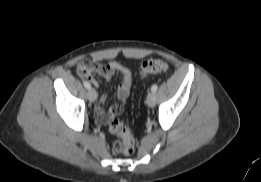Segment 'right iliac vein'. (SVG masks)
I'll return each mask as SVG.
<instances>
[{
	"mask_svg": "<svg viewBox=\"0 0 261 182\" xmlns=\"http://www.w3.org/2000/svg\"><path fill=\"white\" fill-rule=\"evenodd\" d=\"M87 95H88V99H89L91 102H94V101L96 100L97 93H96L95 89L90 88V89L88 90Z\"/></svg>",
	"mask_w": 261,
	"mask_h": 182,
	"instance_id": "1",
	"label": "right iliac vein"
}]
</instances>
